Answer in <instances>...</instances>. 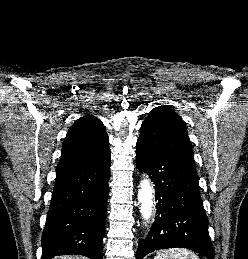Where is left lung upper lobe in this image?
<instances>
[{"instance_id":"1","label":"left lung upper lobe","mask_w":248,"mask_h":259,"mask_svg":"<svg viewBox=\"0 0 248 259\" xmlns=\"http://www.w3.org/2000/svg\"><path fill=\"white\" fill-rule=\"evenodd\" d=\"M140 142L197 175L185 122L167 106L154 108L141 126Z\"/></svg>"}]
</instances>
